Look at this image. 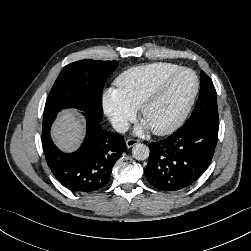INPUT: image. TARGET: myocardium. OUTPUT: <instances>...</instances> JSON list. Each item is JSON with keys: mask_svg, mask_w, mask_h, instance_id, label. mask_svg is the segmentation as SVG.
<instances>
[{"mask_svg": "<svg viewBox=\"0 0 251 251\" xmlns=\"http://www.w3.org/2000/svg\"><path fill=\"white\" fill-rule=\"evenodd\" d=\"M182 73H190L193 75L194 80H195L193 91H192L187 103L185 104L182 112L170 125L163 127V128L151 129V131L155 135H159V136L169 135V134L175 132L177 129H179L186 121V119L189 116L190 111L194 105V102L197 98L198 92H199L200 82H199V78H198L196 72L193 71L192 69L182 67V68L174 71L173 73L167 75L150 90V92L143 99V101L139 107V116L141 119H143V116H144L146 110L159 99V97L162 95V93L165 91V89L168 87V85L177 76H179Z\"/></svg>", "mask_w": 251, "mask_h": 251, "instance_id": "obj_1", "label": "myocardium"}]
</instances>
